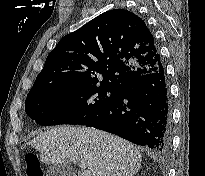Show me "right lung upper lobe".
<instances>
[{
	"mask_svg": "<svg viewBox=\"0 0 205 176\" xmlns=\"http://www.w3.org/2000/svg\"><path fill=\"white\" fill-rule=\"evenodd\" d=\"M161 68L145 22L130 11L115 9L64 36L47 56L28 95L67 86L119 89Z\"/></svg>",
	"mask_w": 205,
	"mask_h": 176,
	"instance_id": "cb5924a9",
	"label": "right lung upper lobe"
}]
</instances>
